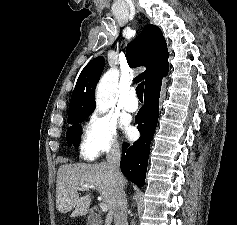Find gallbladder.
Segmentation results:
<instances>
[{
  "label": "gallbladder",
  "mask_w": 237,
  "mask_h": 225,
  "mask_svg": "<svg viewBox=\"0 0 237 225\" xmlns=\"http://www.w3.org/2000/svg\"><path fill=\"white\" fill-rule=\"evenodd\" d=\"M101 219L98 216L89 217L87 220V225H100Z\"/></svg>",
  "instance_id": "gallbladder-1"
}]
</instances>
